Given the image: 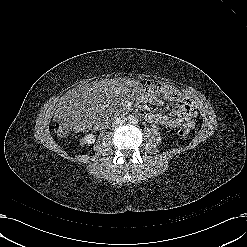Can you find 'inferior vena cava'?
Listing matches in <instances>:
<instances>
[{"label": "inferior vena cava", "mask_w": 247, "mask_h": 247, "mask_svg": "<svg viewBox=\"0 0 247 247\" xmlns=\"http://www.w3.org/2000/svg\"><path fill=\"white\" fill-rule=\"evenodd\" d=\"M125 122H126V119H125V118L119 117V118H116V119L113 121L112 125H113V126H118V125L124 124Z\"/></svg>", "instance_id": "1"}]
</instances>
